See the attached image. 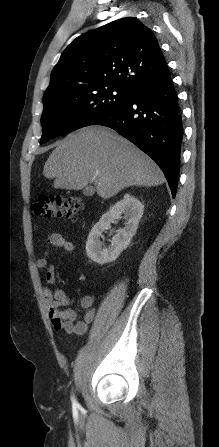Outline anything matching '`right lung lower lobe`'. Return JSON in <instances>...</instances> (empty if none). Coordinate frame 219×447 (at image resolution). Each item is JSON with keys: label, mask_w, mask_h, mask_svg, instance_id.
I'll return each mask as SVG.
<instances>
[{"label": "right lung lower lobe", "mask_w": 219, "mask_h": 447, "mask_svg": "<svg viewBox=\"0 0 219 447\" xmlns=\"http://www.w3.org/2000/svg\"><path fill=\"white\" fill-rule=\"evenodd\" d=\"M91 125L114 129L149 155L164 172L175 197L183 122L170 73L139 88L128 102L107 112Z\"/></svg>", "instance_id": "1"}]
</instances>
